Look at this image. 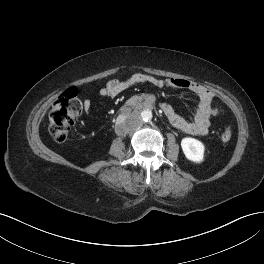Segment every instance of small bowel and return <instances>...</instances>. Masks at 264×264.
Returning a JSON list of instances; mask_svg holds the SVG:
<instances>
[{
  "label": "small bowel",
  "instance_id": "small-bowel-1",
  "mask_svg": "<svg viewBox=\"0 0 264 264\" xmlns=\"http://www.w3.org/2000/svg\"><path fill=\"white\" fill-rule=\"evenodd\" d=\"M150 84L158 89L178 88L186 89L195 94L198 98V105L194 115L186 119L179 115L171 105L163 103L161 110L169 123L188 134L206 135L210 126V119L214 115L211 106L212 93L203 85L181 78L158 79L147 74H134L126 80H111L99 89V94L104 98H114L125 88L136 84ZM91 101L84 99L82 108L85 114L91 111Z\"/></svg>",
  "mask_w": 264,
  "mask_h": 264
}]
</instances>
